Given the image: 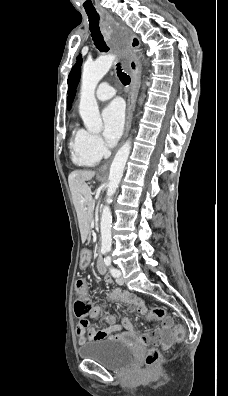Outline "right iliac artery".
<instances>
[{"label": "right iliac artery", "instance_id": "obj_1", "mask_svg": "<svg viewBox=\"0 0 228 396\" xmlns=\"http://www.w3.org/2000/svg\"><path fill=\"white\" fill-rule=\"evenodd\" d=\"M106 251H103L102 253L105 254Z\"/></svg>", "mask_w": 228, "mask_h": 396}]
</instances>
